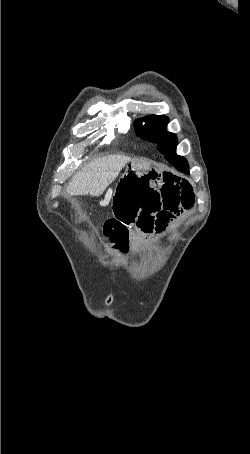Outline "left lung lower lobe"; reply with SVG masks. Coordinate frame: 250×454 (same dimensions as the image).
<instances>
[{
  "instance_id": "left-lung-lower-lobe-1",
  "label": "left lung lower lobe",
  "mask_w": 250,
  "mask_h": 454,
  "mask_svg": "<svg viewBox=\"0 0 250 454\" xmlns=\"http://www.w3.org/2000/svg\"><path fill=\"white\" fill-rule=\"evenodd\" d=\"M168 162L171 163L179 171L189 174L188 162L184 157L178 156L176 158L169 159Z\"/></svg>"
}]
</instances>
